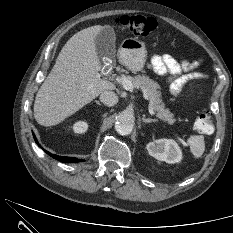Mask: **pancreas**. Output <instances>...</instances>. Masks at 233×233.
<instances>
[{
    "label": "pancreas",
    "instance_id": "cf45deb5",
    "mask_svg": "<svg viewBox=\"0 0 233 233\" xmlns=\"http://www.w3.org/2000/svg\"><path fill=\"white\" fill-rule=\"evenodd\" d=\"M129 80L131 81L133 88H141L146 91L150 105L159 119L168 124H173L175 122L173 114L170 113L169 109L165 108V105L161 100V93L159 91L160 86L157 82H154L145 75H137L129 78Z\"/></svg>",
    "mask_w": 233,
    "mask_h": 233
}]
</instances>
